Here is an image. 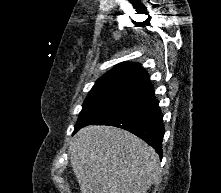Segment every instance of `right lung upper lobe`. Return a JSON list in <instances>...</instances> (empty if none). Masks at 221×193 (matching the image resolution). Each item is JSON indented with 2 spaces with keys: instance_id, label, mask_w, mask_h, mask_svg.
Returning <instances> with one entry per match:
<instances>
[{
  "instance_id": "cb5924a9",
  "label": "right lung upper lobe",
  "mask_w": 221,
  "mask_h": 193,
  "mask_svg": "<svg viewBox=\"0 0 221 193\" xmlns=\"http://www.w3.org/2000/svg\"><path fill=\"white\" fill-rule=\"evenodd\" d=\"M110 84H128L147 88L151 85L148 73L139 63L124 62L97 80L93 88Z\"/></svg>"
}]
</instances>
